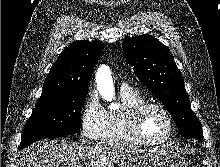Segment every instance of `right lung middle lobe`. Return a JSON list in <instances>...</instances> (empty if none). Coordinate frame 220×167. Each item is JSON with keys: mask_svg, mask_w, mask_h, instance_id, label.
Wrapping results in <instances>:
<instances>
[{"mask_svg": "<svg viewBox=\"0 0 220 167\" xmlns=\"http://www.w3.org/2000/svg\"><path fill=\"white\" fill-rule=\"evenodd\" d=\"M87 93L88 89L68 90L39 99L25 124L19 150L39 139L77 133Z\"/></svg>", "mask_w": 220, "mask_h": 167, "instance_id": "1", "label": "right lung middle lobe"}]
</instances>
